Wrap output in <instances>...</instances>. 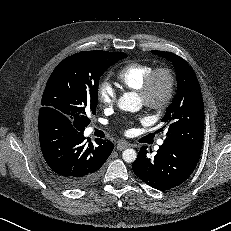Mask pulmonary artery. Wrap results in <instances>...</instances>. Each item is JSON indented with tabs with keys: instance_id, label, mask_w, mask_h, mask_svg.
I'll return each mask as SVG.
<instances>
[{
	"instance_id": "obj_1",
	"label": "pulmonary artery",
	"mask_w": 231,
	"mask_h": 231,
	"mask_svg": "<svg viewBox=\"0 0 231 231\" xmlns=\"http://www.w3.org/2000/svg\"><path fill=\"white\" fill-rule=\"evenodd\" d=\"M163 144V140H160L159 142H158V145H162Z\"/></svg>"
}]
</instances>
